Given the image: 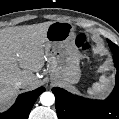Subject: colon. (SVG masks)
<instances>
[{"label": "colon", "instance_id": "1", "mask_svg": "<svg viewBox=\"0 0 119 119\" xmlns=\"http://www.w3.org/2000/svg\"><path fill=\"white\" fill-rule=\"evenodd\" d=\"M75 44L77 47L81 48L83 51H86L89 49V45L86 43V38L84 35H77L75 37Z\"/></svg>", "mask_w": 119, "mask_h": 119}]
</instances>
